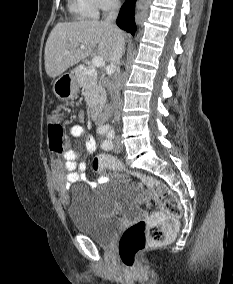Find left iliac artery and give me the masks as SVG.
Segmentation results:
<instances>
[{
    "label": "left iliac artery",
    "instance_id": "1",
    "mask_svg": "<svg viewBox=\"0 0 233 284\" xmlns=\"http://www.w3.org/2000/svg\"><path fill=\"white\" fill-rule=\"evenodd\" d=\"M114 131L110 130L106 134V139L102 143V147L105 150H111L113 148L112 139L114 138Z\"/></svg>",
    "mask_w": 233,
    "mask_h": 284
}]
</instances>
